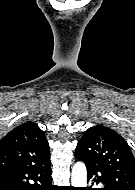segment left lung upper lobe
<instances>
[{
  "label": "left lung upper lobe",
  "instance_id": "5c2ea615",
  "mask_svg": "<svg viewBox=\"0 0 135 190\" xmlns=\"http://www.w3.org/2000/svg\"><path fill=\"white\" fill-rule=\"evenodd\" d=\"M76 157L109 175L124 190H135V158L126 141L113 129H87L76 147Z\"/></svg>",
  "mask_w": 135,
  "mask_h": 190
}]
</instances>
